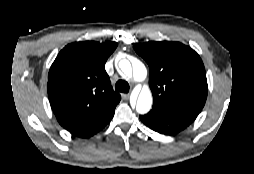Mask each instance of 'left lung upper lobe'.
Returning a JSON list of instances; mask_svg holds the SVG:
<instances>
[{
    "label": "left lung upper lobe",
    "instance_id": "1",
    "mask_svg": "<svg viewBox=\"0 0 254 174\" xmlns=\"http://www.w3.org/2000/svg\"><path fill=\"white\" fill-rule=\"evenodd\" d=\"M133 47L149 65L153 105L197 117L208 92L200 56L179 42L153 41Z\"/></svg>",
    "mask_w": 254,
    "mask_h": 174
}]
</instances>
